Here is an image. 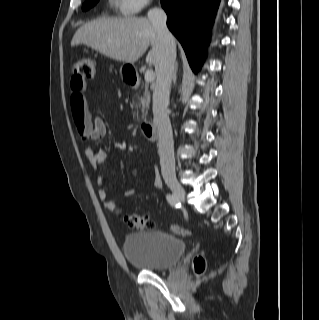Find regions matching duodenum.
Masks as SVG:
<instances>
[{"label":"duodenum","mask_w":319,"mask_h":320,"mask_svg":"<svg viewBox=\"0 0 319 320\" xmlns=\"http://www.w3.org/2000/svg\"><path fill=\"white\" fill-rule=\"evenodd\" d=\"M125 78H126V81L129 84H132V85H137L138 84V77L136 76V74L134 72L127 73ZM142 131H143L144 135L146 136V138L149 141L157 140V138H158V129H157V126L154 123L144 122L142 124Z\"/></svg>","instance_id":"1"}]
</instances>
